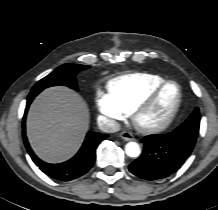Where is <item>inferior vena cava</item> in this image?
<instances>
[{
    "label": "inferior vena cava",
    "instance_id": "obj_1",
    "mask_svg": "<svg viewBox=\"0 0 218 210\" xmlns=\"http://www.w3.org/2000/svg\"><path fill=\"white\" fill-rule=\"evenodd\" d=\"M98 127L105 133H114L120 130V124L118 122L105 116L98 118Z\"/></svg>",
    "mask_w": 218,
    "mask_h": 210
}]
</instances>
